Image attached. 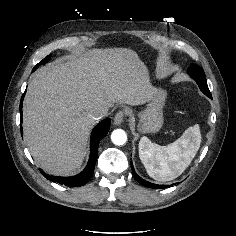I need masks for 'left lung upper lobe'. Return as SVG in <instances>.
<instances>
[{"mask_svg": "<svg viewBox=\"0 0 236 236\" xmlns=\"http://www.w3.org/2000/svg\"><path fill=\"white\" fill-rule=\"evenodd\" d=\"M188 73L196 81V83L198 84L200 90L205 95L210 97L211 93L209 91V88H208V85H207V81H206L203 69L200 66L196 65V64H192L188 68Z\"/></svg>", "mask_w": 236, "mask_h": 236, "instance_id": "1", "label": "left lung upper lobe"}]
</instances>
